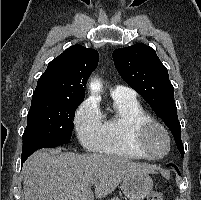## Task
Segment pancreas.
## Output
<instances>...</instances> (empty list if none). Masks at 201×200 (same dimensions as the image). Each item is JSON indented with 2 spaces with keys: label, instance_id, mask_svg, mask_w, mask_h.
<instances>
[{
  "label": "pancreas",
  "instance_id": "cf45deb5",
  "mask_svg": "<svg viewBox=\"0 0 201 200\" xmlns=\"http://www.w3.org/2000/svg\"><path fill=\"white\" fill-rule=\"evenodd\" d=\"M109 200H120V199L118 197H113V198H111Z\"/></svg>",
  "mask_w": 201,
  "mask_h": 200
}]
</instances>
